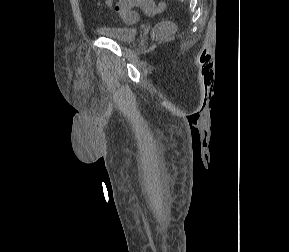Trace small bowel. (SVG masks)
<instances>
[{"mask_svg":"<svg viewBox=\"0 0 289 252\" xmlns=\"http://www.w3.org/2000/svg\"><path fill=\"white\" fill-rule=\"evenodd\" d=\"M103 2L107 7H112L115 0H103Z\"/></svg>","mask_w":289,"mask_h":252,"instance_id":"1","label":"small bowel"}]
</instances>
